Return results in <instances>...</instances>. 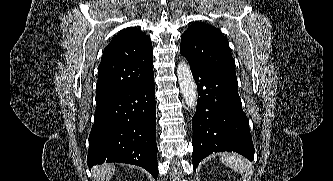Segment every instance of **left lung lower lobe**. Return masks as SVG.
Returning <instances> with one entry per match:
<instances>
[{
    "label": "left lung lower lobe",
    "mask_w": 333,
    "mask_h": 181,
    "mask_svg": "<svg viewBox=\"0 0 333 181\" xmlns=\"http://www.w3.org/2000/svg\"><path fill=\"white\" fill-rule=\"evenodd\" d=\"M188 62L198 87L197 109L192 118L194 170L213 152H237L252 161L254 146L237 80Z\"/></svg>",
    "instance_id": "left-lung-lower-lobe-1"
}]
</instances>
